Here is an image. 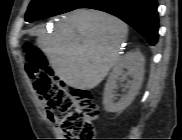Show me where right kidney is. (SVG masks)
<instances>
[{
	"label": "right kidney",
	"mask_w": 182,
	"mask_h": 140,
	"mask_svg": "<svg viewBox=\"0 0 182 140\" xmlns=\"http://www.w3.org/2000/svg\"><path fill=\"white\" fill-rule=\"evenodd\" d=\"M145 59L141 52H129L122 56L111 71L103 94V104L108 112H121L137 95L144 77ZM128 77L130 79H128ZM127 81V93L116 101L117 82Z\"/></svg>",
	"instance_id": "right-kidney-1"
}]
</instances>
